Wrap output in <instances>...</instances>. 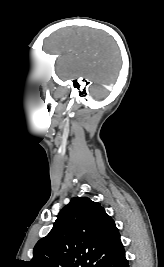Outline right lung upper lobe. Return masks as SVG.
Segmentation results:
<instances>
[{"label": "right lung upper lobe", "mask_w": 164, "mask_h": 267, "mask_svg": "<svg viewBox=\"0 0 164 267\" xmlns=\"http://www.w3.org/2000/svg\"><path fill=\"white\" fill-rule=\"evenodd\" d=\"M123 248L113 219L98 202L74 197L50 233L33 249L30 267H95L105 256Z\"/></svg>", "instance_id": "obj_1"}]
</instances>
